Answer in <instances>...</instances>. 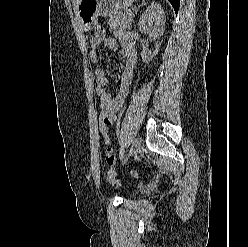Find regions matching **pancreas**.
Returning <instances> with one entry per match:
<instances>
[{"mask_svg":"<svg viewBox=\"0 0 248 247\" xmlns=\"http://www.w3.org/2000/svg\"><path fill=\"white\" fill-rule=\"evenodd\" d=\"M109 23L110 26L114 29L129 28L132 23V13L129 10L125 11L124 13L121 11L116 12L110 17Z\"/></svg>","mask_w":248,"mask_h":247,"instance_id":"1","label":"pancreas"}]
</instances>
